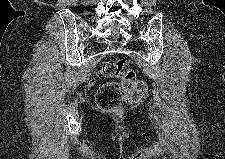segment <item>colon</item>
I'll use <instances>...</instances> for the list:
<instances>
[{"instance_id": "colon-1", "label": "colon", "mask_w": 225, "mask_h": 159, "mask_svg": "<svg viewBox=\"0 0 225 159\" xmlns=\"http://www.w3.org/2000/svg\"><path fill=\"white\" fill-rule=\"evenodd\" d=\"M100 73L105 78L120 79V82H107L98 88L96 101L102 111H120L125 104H138L145 98L146 83L137 78L136 72L125 59L107 60Z\"/></svg>"}]
</instances>
